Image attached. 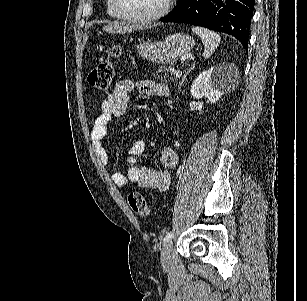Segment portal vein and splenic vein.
Returning a JSON list of instances; mask_svg holds the SVG:
<instances>
[{
  "label": "portal vein and splenic vein",
  "instance_id": "portal-vein-and-splenic-vein-1",
  "mask_svg": "<svg viewBox=\"0 0 307 301\" xmlns=\"http://www.w3.org/2000/svg\"><path fill=\"white\" fill-rule=\"evenodd\" d=\"M181 74H182V70H177L176 76H181Z\"/></svg>",
  "mask_w": 307,
  "mask_h": 301
}]
</instances>
